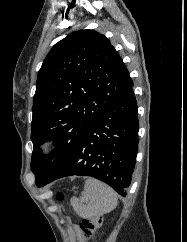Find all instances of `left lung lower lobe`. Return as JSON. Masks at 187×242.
<instances>
[{
	"label": "left lung lower lobe",
	"instance_id": "1",
	"mask_svg": "<svg viewBox=\"0 0 187 242\" xmlns=\"http://www.w3.org/2000/svg\"><path fill=\"white\" fill-rule=\"evenodd\" d=\"M138 130L132 86L92 122L62 163L49 174L36 177V185L71 175L91 176L125 196L136 162Z\"/></svg>",
	"mask_w": 187,
	"mask_h": 242
}]
</instances>
